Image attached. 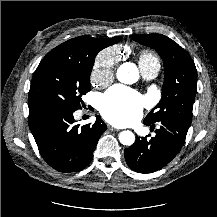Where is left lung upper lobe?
<instances>
[{
  "instance_id": "5c2ea615",
  "label": "left lung upper lobe",
  "mask_w": 217,
  "mask_h": 217,
  "mask_svg": "<svg viewBox=\"0 0 217 217\" xmlns=\"http://www.w3.org/2000/svg\"><path fill=\"white\" fill-rule=\"evenodd\" d=\"M131 38L155 49L165 66L162 98L145 120L155 123L165 118H177L191 124L197 92V70L191 56L161 34L132 35Z\"/></svg>"
}]
</instances>
